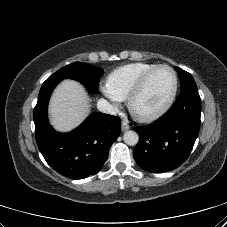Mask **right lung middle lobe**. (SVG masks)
<instances>
[{"mask_svg": "<svg viewBox=\"0 0 227 227\" xmlns=\"http://www.w3.org/2000/svg\"><path fill=\"white\" fill-rule=\"evenodd\" d=\"M103 70L81 62H74L59 69L45 82H60L63 79H74L83 84L91 93H98V83Z\"/></svg>", "mask_w": 227, "mask_h": 227, "instance_id": "obj_1", "label": "right lung middle lobe"}]
</instances>
